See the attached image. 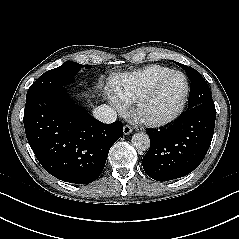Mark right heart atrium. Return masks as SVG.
<instances>
[{"label": "right heart atrium", "instance_id": "obj_1", "mask_svg": "<svg viewBox=\"0 0 239 239\" xmlns=\"http://www.w3.org/2000/svg\"><path fill=\"white\" fill-rule=\"evenodd\" d=\"M110 100H111V103L113 104V106L115 107V108H117L118 110H123V106L115 99V97L114 96H111L110 97Z\"/></svg>", "mask_w": 239, "mask_h": 239}]
</instances>
